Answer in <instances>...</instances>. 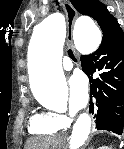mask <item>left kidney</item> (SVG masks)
<instances>
[{"label":"left kidney","mask_w":124,"mask_h":149,"mask_svg":"<svg viewBox=\"0 0 124 149\" xmlns=\"http://www.w3.org/2000/svg\"><path fill=\"white\" fill-rule=\"evenodd\" d=\"M99 149H111V148H109L108 146H102V147H99Z\"/></svg>","instance_id":"obj_1"}]
</instances>
